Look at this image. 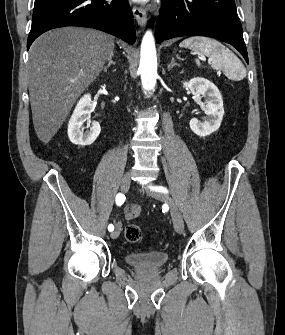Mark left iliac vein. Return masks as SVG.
Wrapping results in <instances>:
<instances>
[{
    "instance_id": "left-iliac-vein-1",
    "label": "left iliac vein",
    "mask_w": 285,
    "mask_h": 335,
    "mask_svg": "<svg viewBox=\"0 0 285 335\" xmlns=\"http://www.w3.org/2000/svg\"><path fill=\"white\" fill-rule=\"evenodd\" d=\"M142 190H143V188H142ZM149 193L154 198H156L157 200H159V199L164 200L168 203V205L170 207V213H171V217H172V220H173L174 228H175L176 232L181 233L184 229V221H183V217H182L179 209L177 208L176 204L166 194H163V193L157 192V191H150Z\"/></svg>"
}]
</instances>
